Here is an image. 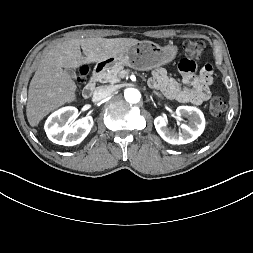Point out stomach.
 <instances>
[{"label":"stomach","instance_id":"0dacf381","mask_svg":"<svg viewBox=\"0 0 253 253\" xmlns=\"http://www.w3.org/2000/svg\"><path fill=\"white\" fill-rule=\"evenodd\" d=\"M177 52V46L172 43L161 47L151 41H139L126 51L99 62V64H104L102 67L104 70L116 65L146 71L171 62Z\"/></svg>","mask_w":253,"mask_h":253}]
</instances>
